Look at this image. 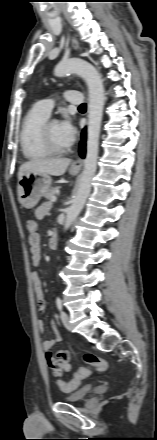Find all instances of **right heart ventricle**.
<instances>
[{
    "label": "right heart ventricle",
    "mask_w": 157,
    "mask_h": 440,
    "mask_svg": "<svg viewBox=\"0 0 157 440\" xmlns=\"http://www.w3.org/2000/svg\"><path fill=\"white\" fill-rule=\"evenodd\" d=\"M48 117L36 106L26 113L21 126L20 143L27 158L37 159L50 155L40 136L41 126Z\"/></svg>",
    "instance_id": "obj_1"
}]
</instances>
